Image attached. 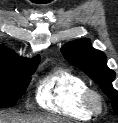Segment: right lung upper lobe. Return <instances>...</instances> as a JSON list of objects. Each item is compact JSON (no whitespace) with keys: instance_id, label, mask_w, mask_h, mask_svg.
<instances>
[{"instance_id":"cb5924a9","label":"right lung upper lobe","mask_w":118,"mask_h":123,"mask_svg":"<svg viewBox=\"0 0 118 123\" xmlns=\"http://www.w3.org/2000/svg\"><path fill=\"white\" fill-rule=\"evenodd\" d=\"M40 57L35 59L20 58L16 53L0 48V62L16 65L20 68L31 70L37 68Z\"/></svg>"}]
</instances>
